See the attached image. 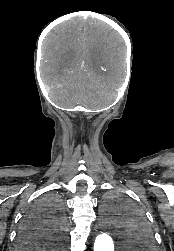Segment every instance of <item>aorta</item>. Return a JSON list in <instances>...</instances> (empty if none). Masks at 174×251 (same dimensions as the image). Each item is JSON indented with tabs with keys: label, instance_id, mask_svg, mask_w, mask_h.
Returning a JSON list of instances; mask_svg holds the SVG:
<instances>
[{
	"label": "aorta",
	"instance_id": "1",
	"mask_svg": "<svg viewBox=\"0 0 174 251\" xmlns=\"http://www.w3.org/2000/svg\"><path fill=\"white\" fill-rule=\"evenodd\" d=\"M121 230V221L119 219L103 218L100 222V232L94 243V251H114V243L107 233L110 229Z\"/></svg>",
	"mask_w": 174,
	"mask_h": 251
}]
</instances>
